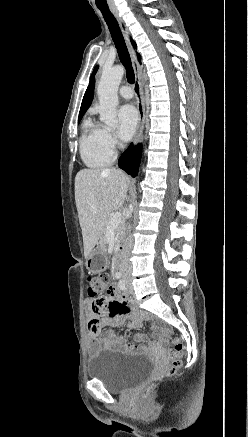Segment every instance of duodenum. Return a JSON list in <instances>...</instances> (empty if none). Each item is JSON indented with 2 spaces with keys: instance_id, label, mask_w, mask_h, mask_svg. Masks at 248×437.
I'll return each instance as SVG.
<instances>
[{
  "instance_id": "1",
  "label": "duodenum",
  "mask_w": 248,
  "mask_h": 437,
  "mask_svg": "<svg viewBox=\"0 0 248 437\" xmlns=\"http://www.w3.org/2000/svg\"><path fill=\"white\" fill-rule=\"evenodd\" d=\"M123 253H124V248L121 246L118 248V252H117L116 258H115V265L117 268L121 267V265H122Z\"/></svg>"
}]
</instances>
